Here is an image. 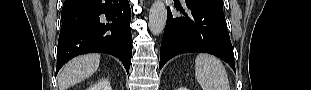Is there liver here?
<instances>
[{"label":"liver","mask_w":311,"mask_h":90,"mask_svg":"<svg viewBox=\"0 0 311 90\" xmlns=\"http://www.w3.org/2000/svg\"><path fill=\"white\" fill-rule=\"evenodd\" d=\"M99 63V54H85L70 60L59 75L60 90H66L69 86L92 76L98 69Z\"/></svg>","instance_id":"6515ba94"}]
</instances>
